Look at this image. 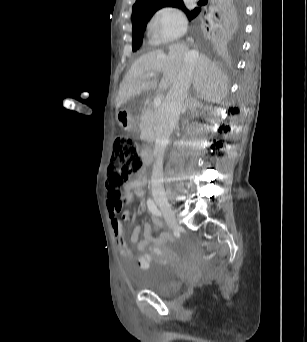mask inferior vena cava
I'll return each instance as SVG.
<instances>
[{
  "label": "inferior vena cava",
  "mask_w": 307,
  "mask_h": 342,
  "mask_svg": "<svg viewBox=\"0 0 307 342\" xmlns=\"http://www.w3.org/2000/svg\"><path fill=\"white\" fill-rule=\"evenodd\" d=\"M198 52L191 50L187 52L181 72L177 76L176 82L172 84L167 96L158 112L156 142L154 148L155 164L151 176L152 192L165 194L163 186V158L169 136L172 134L176 124H178L181 108L187 98L188 90L191 86L193 72L195 68V58Z\"/></svg>",
  "instance_id": "1"
}]
</instances>
